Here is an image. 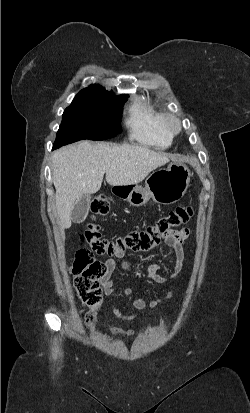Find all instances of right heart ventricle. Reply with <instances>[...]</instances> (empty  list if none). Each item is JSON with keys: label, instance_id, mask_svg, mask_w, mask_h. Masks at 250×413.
I'll use <instances>...</instances> for the list:
<instances>
[{"label": "right heart ventricle", "instance_id": "right-heart-ventricle-1", "mask_svg": "<svg viewBox=\"0 0 250 413\" xmlns=\"http://www.w3.org/2000/svg\"><path fill=\"white\" fill-rule=\"evenodd\" d=\"M164 113L149 100L137 99L128 110L126 126L129 137L139 143L156 148H167L172 137L164 130Z\"/></svg>", "mask_w": 250, "mask_h": 413}]
</instances>
